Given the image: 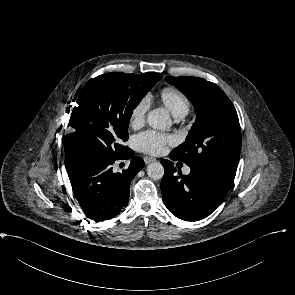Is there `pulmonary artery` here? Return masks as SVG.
I'll return each instance as SVG.
<instances>
[{
  "label": "pulmonary artery",
  "instance_id": "obj_1",
  "mask_svg": "<svg viewBox=\"0 0 295 295\" xmlns=\"http://www.w3.org/2000/svg\"><path fill=\"white\" fill-rule=\"evenodd\" d=\"M183 172L185 174H189L190 173V168L189 167H185L184 170H183Z\"/></svg>",
  "mask_w": 295,
  "mask_h": 295
}]
</instances>
